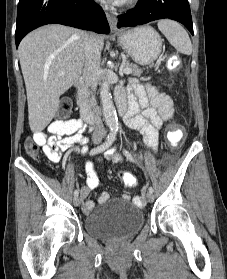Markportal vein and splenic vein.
I'll use <instances>...</instances> for the list:
<instances>
[{"label":"portal vein and splenic vein","mask_w":227,"mask_h":279,"mask_svg":"<svg viewBox=\"0 0 227 279\" xmlns=\"http://www.w3.org/2000/svg\"><path fill=\"white\" fill-rule=\"evenodd\" d=\"M122 71H123L124 74H130L131 69H130V68L124 67V68L122 69ZM60 74H63V72H60Z\"/></svg>","instance_id":"1"}]
</instances>
